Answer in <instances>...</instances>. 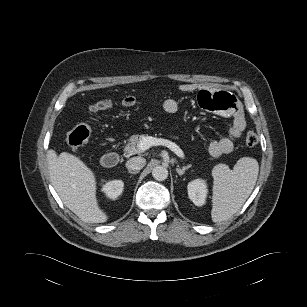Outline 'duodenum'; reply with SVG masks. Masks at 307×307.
I'll list each match as a JSON object with an SVG mask.
<instances>
[{"label": "duodenum", "mask_w": 307, "mask_h": 307, "mask_svg": "<svg viewBox=\"0 0 307 307\" xmlns=\"http://www.w3.org/2000/svg\"><path fill=\"white\" fill-rule=\"evenodd\" d=\"M119 155L116 152H108L101 158V163L105 168H113L119 163Z\"/></svg>", "instance_id": "obj_1"}]
</instances>
